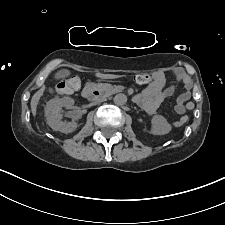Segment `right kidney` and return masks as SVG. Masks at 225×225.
Here are the masks:
<instances>
[{
	"label": "right kidney",
	"mask_w": 225,
	"mask_h": 225,
	"mask_svg": "<svg viewBox=\"0 0 225 225\" xmlns=\"http://www.w3.org/2000/svg\"><path fill=\"white\" fill-rule=\"evenodd\" d=\"M74 104V100L70 97L52 99L47 103L45 109V116L47 118V124L54 130L62 133H71L77 127L78 124L74 121L63 122L60 114L63 107L70 109Z\"/></svg>",
	"instance_id": "1"
}]
</instances>
